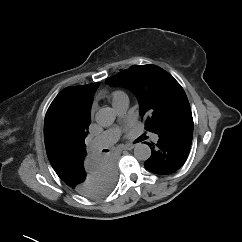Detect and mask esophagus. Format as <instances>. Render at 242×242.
Here are the masks:
<instances>
[{"label": "esophagus", "instance_id": "34e87169", "mask_svg": "<svg viewBox=\"0 0 242 242\" xmlns=\"http://www.w3.org/2000/svg\"><path fill=\"white\" fill-rule=\"evenodd\" d=\"M133 148H134V144L132 143H127L122 147V149L124 150H132Z\"/></svg>", "mask_w": 242, "mask_h": 242}]
</instances>
